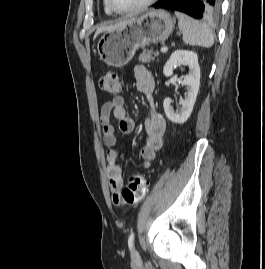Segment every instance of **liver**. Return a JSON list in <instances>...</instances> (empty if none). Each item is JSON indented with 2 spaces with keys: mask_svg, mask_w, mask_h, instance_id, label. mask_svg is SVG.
Instances as JSON below:
<instances>
[{
  "mask_svg": "<svg viewBox=\"0 0 265 269\" xmlns=\"http://www.w3.org/2000/svg\"><path fill=\"white\" fill-rule=\"evenodd\" d=\"M129 21L130 20L128 19V20H123V21L117 22V23L109 25V26H101V27H99L95 32L94 39L102 32L113 31L115 29H119V28L123 27Z\"/></svg>",
  "mask_w": 265,
  "mask_h": 269,
  "instance_id": "obj_1",
  "label": "liver"
}]
</instances>
